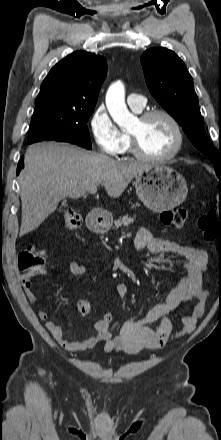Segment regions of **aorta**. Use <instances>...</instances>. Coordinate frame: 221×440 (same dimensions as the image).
Masks as SVG:
<instances>
[{"label": "aorta", "mask_w": 221, "mask_h": 440, "mask_svg": "<svg viewBox=\"0 0 221 440\" xmlns=\"http://www.w3.org/2000/svg\"><path fill=\"white\" fill-rule=\"evenodd\" d=\"M105 101L110 116L121 128L133 123L134 116L125 104V90L121 82H115L109 87Z\"/></svg>", "instance_id": "1"}]
</instances>
